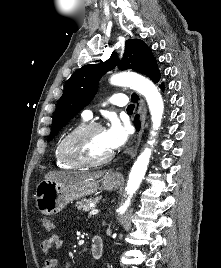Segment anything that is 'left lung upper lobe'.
<instances>
[{"instance_id": "left-lung-upper-lobe-1", "label": "left lung upper lobe", "mask_w": 221, "mask_h": 268, "mask_svg": "<svg viewBox=\"0 0 221 268\" xmlns=\"http://www.w3.org/2000/svg\"><path fill=\"white\" fill-rule=\"evenodd\" d=\"M117 63L119 69H133L146 75L155 83L160 79V72L150 48L142 40H127L121 62L113 53L106 62L83 66L67 80L63 95L56 106L48 141L52 140L80 110L90 103L97 92L101 76L113 69ZM134 95L136 94H132Z\"/></svg>"}]
</instances>
